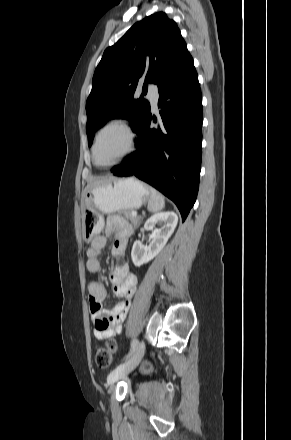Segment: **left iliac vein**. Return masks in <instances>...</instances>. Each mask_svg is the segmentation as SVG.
Wrapping results in <instances>:
<instances>
[{"mask_svg": "<svg viewBox=\"0 0 291 440\" xmlns=\"http://www.w3.org/2000/svg\"><path fill=\"white\" fill-rule=\"evenodd\" d=\"M145 353V345L143 342L139 343L133 354L124 363L113 369L107 378L109 385L114 384L119 379L124 378L129 373H131L141 362L143 355Z\"/></svg>", "mask_w": 291, "mask_h": 440, "instance_id": "left-iliac-vein-1", "label": "left iliac vein"}]
</instances>
